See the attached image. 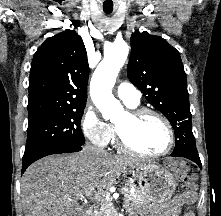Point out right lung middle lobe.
Returning a JSON list of instances; mask_svg holds the SVG:
<instances>
[{
  "mask_svg": "<svg viewBox=\"0 0 221 216\" xmlns=\"http://www.w3.org/2000/svg\"><path fill=\"white\" fill-rule=\"evenodd\" d=\"M85 105L69 107L28 119L27 143L22 162L63 146H82L80 122Z\"/></svg>",
  "mask_w": 221,
  "mask_h": 216,
  "instance_id": "dd1d6c3e",
  "label": "right lung middle lobe"
}]
</instances>
